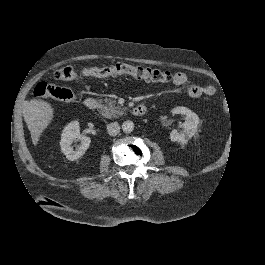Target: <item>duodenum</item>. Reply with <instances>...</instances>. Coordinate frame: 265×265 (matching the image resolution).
<instances>
[{"instance_id": "obj_1", "label": "duodenum", "mask_w": 265, "mask_h": 265, "mask_svg": "<svg viewBox=\"0 0 265 265\" xmlns=\"http://www.w3.org/2000/svg\"><path fill=\"white\" fill-rule=\"evenodd\" d=\"M85 107L90 111H95L98 108V102L96 99L89 97L84 101ZM147 111V108L144 104H138L134 107L132 113L135 116H143Z\"/></svg>"}]
</instances>
